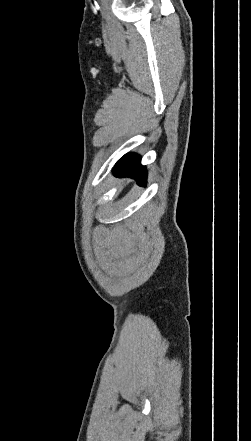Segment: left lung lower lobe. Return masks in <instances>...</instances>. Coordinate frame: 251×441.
Here are the masks:
<instances>
[{"label":"left lung lower lobe","mask_w":251,"mask_h":441,"mask_svg":"<svg viewBox=\"0 0 251 441\" xmlns=\"http://www.w3.org/2000/svg\"><path fill=\"white\" fill-rule=\"evenodd\" d=\"M114 173L118 177L131 176L137 180L138 184L145 185L146 169L141 165L140 156L134 153L123 156L115 165Z\"/></svg>","instance_id":"left-lung-lower-lobe-1"}]
</instances>
